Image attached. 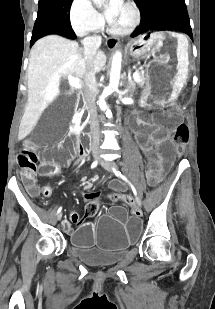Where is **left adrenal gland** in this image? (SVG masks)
<instances>
[{
  "instance_id": "a2214340",
  "label": "left adrenal gland",
  "mask_w": 215,
  "mask_h": 309,
  "mask_svg": "<svg viewBox=\"0 0 215 309\" xmlns=\"http://www.w3.org/2000/svg\"><path fill=\"white\" fill-rule=\"evenodd\" d=\"M130 82H132V80H130L129 76H128V84L130 86Z\"/></svg>"
}]
</instances>
